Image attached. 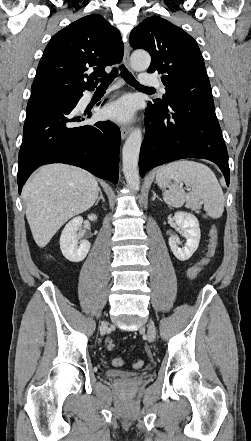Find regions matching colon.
Here are the masks:
<instances>
[{"label":"colon","mask_w":251,"mask_h":441,"mask_svg":"<svg viewBox=\"0 0 251 441\" xmlns=\"http://www.w3.org/2000/svg\"><path fill=\"white\" fill-rule=\"evenodd\" d=\"M218 245V232L217 229L215 227H213L209 233V240H208V247H207V252L206 255L196 264L194 265L190 271H189V278H194L199 271L206 265L209 263L210 259L214 256L216 248ZM116 345L113 341H109L107 343V349L108 350H113L115 349ZM123 363V360L119 357L113 358L112 359V364L115 366H121ZM144 365V362L142 360H137L134 363V367L136 369H140L142 368Z\"/></svg>","instance_id":"5ec220e1"}]
</instances>
